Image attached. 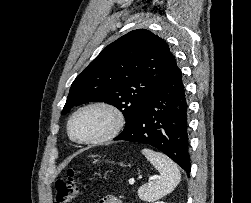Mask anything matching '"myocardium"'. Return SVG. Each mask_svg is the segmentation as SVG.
<instances>
[{
  "instance_id": "obj_1",
  "label": "myocardium",
  "mask_w": 251,
  "mask_h": 203,
  "mask_svg": "<svg viewBox=\"0 0 251 203\" xmlns=\"http://www.w3.org/2000/svg\"><path fill=\"white\" fill-rule=\"evenodd\" d=\"M91 109H99L106 112L111 118V123L109 127L107 128V130L104 131L102 134L94 138H90V139H85V140L79 139L73 133V130H72L73 121L78 114L87 110H91ZM124 125H125V116L123 112L117 106L111 103L105 102V101H94V102L87 103L77 108L71 114L67 123V131H68L69 137L74 142L78 144L89 145V144H97V143H102V142L111 140L122 131Z\"/></svg>"
}]
</instances>
